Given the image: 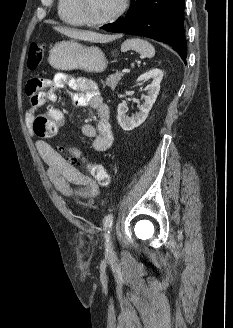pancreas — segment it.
Instances as JSON below:
<instances>
[{
    "mask_svg": "<svg viewBox=\"0 0 233 328\" xmlns=\"http://www.w3.org/2000/svg\"><path fill=\"white\" fill-rule=\"evenodd\" d=\"M124 76L123 73L117 72L115 74L110 75L107 79L105 84L108 87H111V89H115L117 86L118 82L121 80V78Z\"/></svg>",
    "mask_w": 233,
    "mask_h": 328,
    "instance_id": "1",
    "label": "pancreas"
}]
</instances>
